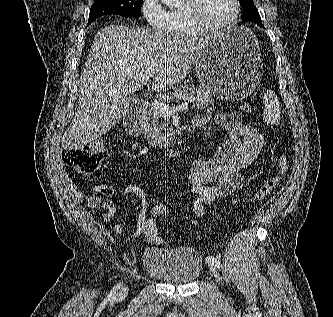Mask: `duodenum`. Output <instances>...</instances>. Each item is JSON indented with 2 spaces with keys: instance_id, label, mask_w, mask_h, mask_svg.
Here are the masks:
<instances>
[{
  "instance_id": "410a0bca",
  "label": "duodenum",
  "mask_w": 333,
  "mask_h": 317,
  "mask_svg": "<svg viewBox=\"0 0 333 317\" xmlns=\"http://www.w3.org/2000/svg\"><path fill=\"white\" fill-rule=\"evenodd\" d=\"M148 107L149 103L146 101L138 103L125 115L124 126L126 131L132 136L139 137L141 135ZM198 127H200V124L194 121L190 130L194 131ZM187 147L188 144L185 140L180 143L169 145L165 148V152L169 157L176 158L181 156L187 150Z\"/></svg>"
}]
</instances>
